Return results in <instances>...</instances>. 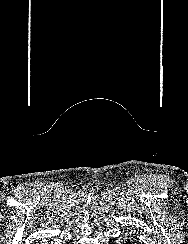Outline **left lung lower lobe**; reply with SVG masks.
I'll return each mask as SVG.
<instances>
[{
    "label": "left lung lower lobe",
    "mask_w": 188,
    "mask_h": 244,
    "mask_svg": "<svg viewBox=\"0 0 188 244\" xmlns=\"http://www.w3.org/2000/svg\"><path fill=\"white\" fill-rule=\"evenodd\" d=\"M125 243L126 244H132V242L129 240V239H127V241H125ZM124 244V243H123Z\"/></svg>",
    "instance_id": "0a47b994"
}]
</instances>
